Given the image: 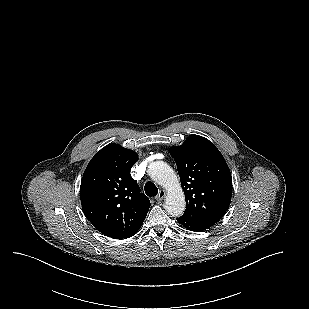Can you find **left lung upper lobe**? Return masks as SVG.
Wrapping results in <instances>:
<instances>
[{
  "label": "left lung upper lobe",
  "instance_id": "obj_1",
  "mask_svg": "<svg viewBox=\"0 0 309 309\" xmlns=\"http://www.w3.org/2000/svg\"><path fill=\"white\" fill-rule=\"evenodd\" d=\"M185 193L182 215L213 226L226 213L232 196V176L220 153L208 139L191 135L170 148Z\"/></svg>",
  "mask_w": 309,
  "mask_h": 309
}]
</instances>
